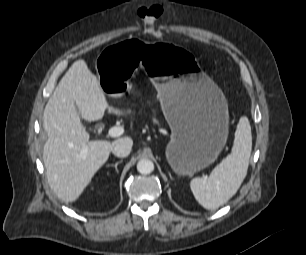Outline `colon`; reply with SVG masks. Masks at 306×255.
<instances>
[{
	"label": "colon",
	"instance_id": "1",
	"mask_svg": "<svg viewBox=\"0 0 306 255\" xmlns=\"http://www.w3.org/2000/svg\"><path fill=\"white\" fill-rule=\"evenodd\" d=\"M162 13L163 7L158 4L143 7L140 9V16L146 23L149 33L156 37L161 35L160 30L155 27V23L161 17Z\"/></svg>",
	"mask_w": 306,
	"mask_h": 255
}]
</instances>
